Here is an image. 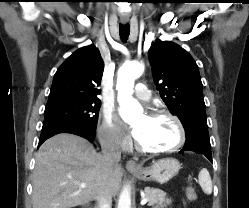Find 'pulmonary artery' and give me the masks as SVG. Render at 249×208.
<instances>
[{"label":"pulmonary artery","instance_id":"1","mask_svg":"<svg viewBox=\"0 0 249 208\" xmlns=\"http://www.w3.org/2000/svg\"><path fill=\"white\" fill-rule=\"evenodd\" d=\"M134 95L136 98L148 101L151 98V91L143 83H138L135 86Z\"/></svg>","mask_w":249,"mask_h":208}]
</instances>
